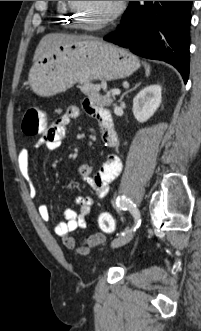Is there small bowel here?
Listing matches in <instances>:
<instances>
[{
	"label": "small bowel",
	"mask_w": 201,
	"mask_h": 331,
	"mask_svg": "<svg viewBox=\"0 0 201 331\" xmlns=\"http://www.w3.org/2000/svg\"><path fill=\"white\" fill-rule=\"evenodd\" d=\"M83 109L86 114L94 117L98 121L103 143L107 147H115L118 143V136L114 129L110 111L96 105L91 100L84 101ZM80 115V107L75 105L68 107L62 116L48 125L43 136L39 138L32 147L23 148L19 152L18 167L22 176L28 183L29 192L32 197L37 195V189L32 181L30 173V162L33 151L39 148L50 151L58 149L65 138L67 126L71 121L79 118ZM121 170V159L114 153L107 154L104 163L96 175H92L91 167L88 164L79 166V176L91 187L93 195L86 197L78 196L75 202L79 206V210L75 211L71 208L65 209V221L57 222L52 225L54 233L61 238L67 248L76 250L80 254H86L89 251L88 246H77L71 234L78 229H84L86 227V217L91 211L94 198H102L107 195L109 184L120 174ZM38 211L44 221L49 222L51 220V212L47 204H41L38 207Z\"/></svg>",
	"instance_id": "1"
}]
</instances>
